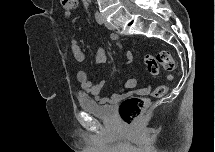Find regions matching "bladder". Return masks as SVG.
<instances>
[{
	"instance_id": "obj_1",
	"label": "bladder",
	"mask_w": 215,
	"mask_h": 152,
	"mask_svg": "<svg viewBox=\"0 0 215 152\" xmlns=\"http://www.w3.org/2000/svg\"><path fill=\"white\" fill-rule=\"evenodd\" d=\"M79 104L85 112L98 118L111 120L114 117V109L111 104H101L90 97H80Z\"/></svg>"
}]
</instances>
